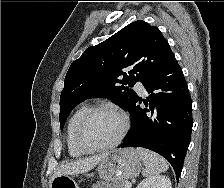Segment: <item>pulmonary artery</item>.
Masks as SVG:
<instances>
[{
    "mask_svg": "<svg viewBox=\"0 0 224 188\" xmlns=\"http://www.w3.org/2000/svg\"><path fill=\"white\" fill-rule=\"evenodd\" d=\"M135 88H136L140 93H144V92H145V88H144V86H143L140 82L136 83Z\"/></svg>",
    "mask_w": 224,
    "mask_h": 188,
    "instance_id": "1",
    "label": "pulmonary artery"
}]
</instances>
